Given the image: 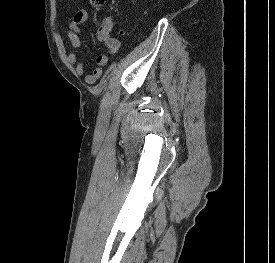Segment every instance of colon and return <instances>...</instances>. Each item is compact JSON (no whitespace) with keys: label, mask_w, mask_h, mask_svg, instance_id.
<instances>
[{"label":"colon","mask_w":275,"mask_h":263,"mask_svg":"<svg viewBox=\"0 0 275 263\" xmlns=\"http://www.w3.org/2000/svg\"><path fill=\"white\" fill-rule=\"evenodd\" d=\"M90 1H91V4L96 7L101 6L104 3V0H90Z\"/></svg>","instance_id":"colon-1"}]
</instances>
